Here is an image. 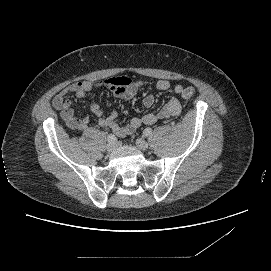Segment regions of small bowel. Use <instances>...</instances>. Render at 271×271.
Wrapping results in <instances>:
<instances>
[{
  "label": "small bowel",
  "mask_w": 271,
  "mask_h": 271,
  "mask_svg": "<svg viewBox=\"0 0 271 271\" xmlns=\"http://www.w3.org/2000/svg\"><path fill=\"white\" fill-rule=\"evenodd\" d=\"M103 85L107 86L116 97L128 100L143 86V83L134 82L128 77H115L105 81H78L66 86L53 98L52 105L60 112L62 120L69 129L78 132L86 130L89 125V118H78L72 109L71 101L67 97L69 95H75L77 98H84L93 88ZM155 88L160 91L171 89L172 92L177 95L182 94L183 91L182 85L176 84L171 87L170 82L165 79L158 80L155 84ZM154 102L155 99L153 95H147L143 99V105L146 108H151ZM89 109L99 118V124L101 126L111 129L119 137H124L132 134L142 125H153L162 119L179 116L182 112V105L180 101L173 96L168 99L157 113H147L142 117H134L125 125H119L116 122L117 113L115 111L105 116L104 110L96 103L90 104Z\"/></svg>",
  "instance_id": "1"
}]
</instances>
